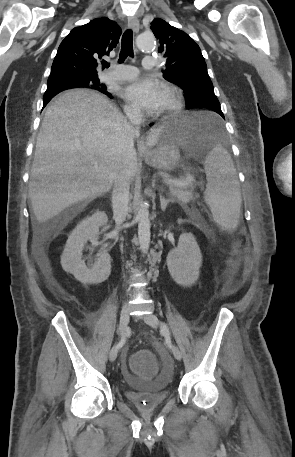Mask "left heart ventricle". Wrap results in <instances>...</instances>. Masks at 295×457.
Masks as SVG:
<instances>
[{
  "instance_id": "left-heart-ventricle-1",
  "label": "left heart ventricle",
  "mask_w": 295,
  "mask_h": 457,
  "mask_svg": "<svg viewBox=\"0 0 295 457\" xmlns=\"http://www.w3.org/2000/svg\"><path fill=\"white\" fill-rule=\"evenodd\" d=\"M169 102H170V96L168 95V93L166 91H164L163 100L161 102L160 107L158 108V111H160L163 108H165L169 104Z\"/></svg>"
}]
</instances>
